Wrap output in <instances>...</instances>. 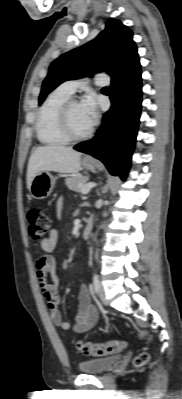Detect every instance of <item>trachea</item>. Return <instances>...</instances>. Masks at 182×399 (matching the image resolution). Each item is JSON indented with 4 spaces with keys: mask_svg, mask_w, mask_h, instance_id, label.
<instances>
[{
    "mask_svg": "<svg viewBox=\"0 0 182 399\" xmlns=\"http://www.w3.org/2000/svg\"><path fill=\"white\" fill-rule=\"evenodd\" d=\"M104 89H109L108 87H104Z\"/></svg>",
    "mask_w": 182,
    "mask_h": 399,
    "instance_id": "3493384b",
    "label": "trachea"
}]
</instances>
